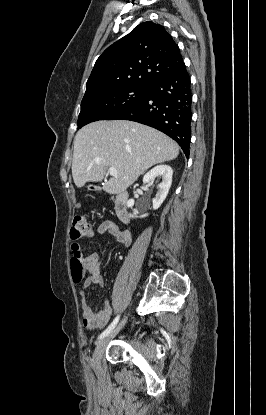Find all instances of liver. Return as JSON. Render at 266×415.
Masks as SVG:
<instances>
[{
  "label": "liver",
  "instance_id": "liver-1",
  "mask_svg": "<svg viewBox=\"0 0 266 415\" xmlns=\"http://www.w3.org/2000/svg\"><path fill=\"white\" fill-rule=\"evenodd\" d=\"M73 144L75 185L101 182L114 167L118 176L103 187L109 194L125 191L147 169L179 154L178 145L164 133L127 120L92 122L77 132Z\"/></svg>",
  "mask_w": 266,
  "mask_h": 415
}]
</instances>
